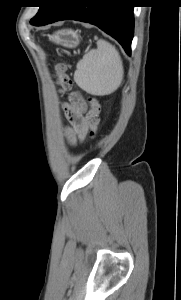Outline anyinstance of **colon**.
I'll use <instances>...</instances> for the list:
<instances>
[{
    "label": "colon",
    "mask_w": 181,
    "mask_h": 300,
    "mask_svg": "<svg viewBox=\"0 0 181 300\" xmlns=\"http://www.w3.org/2000/svg\"><path fill=\"white\" fill-rule=\"evenodd\" d=\"M54 75L57 80L58 85L63 91H67L72 86V80L67 74V68L62 63L55 64L54 67ZM73 108H78L83 104L82 98L75 94L72 97ZM89 111L86 115V124L88 128V133L91 138H95L97 136L99 122H100V111L101 105L97 98L89 99ZM73 108H66L67 114L70 116L72 114Z\"/></svg>",
    "instance_id": "obj_1"
}]
</instances>
